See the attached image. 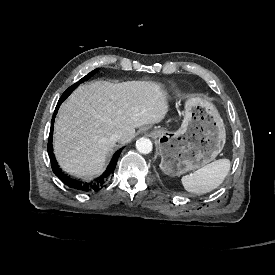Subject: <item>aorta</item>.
Listing matches in <instances>:
<instances>
[{
	"instance_id": "aorta-1",
	"label": "aorta",
	"mask_w": 275,
	"mask_h": 275,
	"mask_svg": "<svg viewBox=\"0 0 275 275\" xmlns=\"http://www.w3.org/2000/svg\"><path fill=\"white\" fill-rule=\"evenodd\" d=\"M136 148L142 154H149L152 152L153 144L149 138L142 137L136 142Z\"/></svg>"
}]
</instances>
